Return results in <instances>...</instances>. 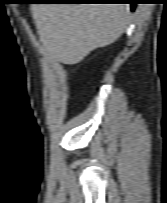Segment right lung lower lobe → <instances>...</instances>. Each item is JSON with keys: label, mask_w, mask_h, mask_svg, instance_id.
I'll use <instances>...</instances> for the list:
<instances>
[{"label": "right lung lower lobe", "mask_w": 167, "mask_h": 203, "mask_svg": "<svg viewBox=\"0 0 167 203\" xmlns=\"http://www.w3.org/2000/svg\"><path fill=\"white\" fill-rule=\"evenodd\" d=\"M85 3H129L131 4V11H134L136 2L134 0H84Z\"/></svg>", "instance_id": "right-lung-lower-lobe-1"}]
</instances>
